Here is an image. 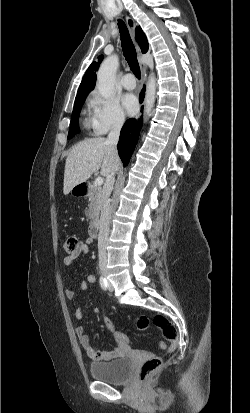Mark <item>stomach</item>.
Instances as JSON below:
<instances>
[{"mask_svg":"<svg viewBox=\"0 0 250 413\" xmlns=\"http://www.w3.org/2000/svg\"><path fill=\"white\" fill-rule=\"evenodd\" d=\"M77 186H78V185H77ZM77 186H75V187L72 188V190H71L72 195H73V196L83 195V194H81V193L79 192L78 189H76Z\"/></svg>","mask_w":250,"mask_h":413,"instance_id":"obj_1","label":"stomach"}]
</instances>
